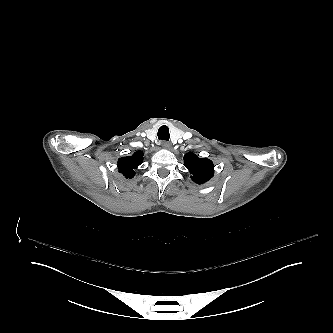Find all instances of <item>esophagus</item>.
I'll use <instances>...</instances> for the list:
<instances>
[{
  "instance_id": "34e87169",
  "label": "esophagus",
  "mask_w": 333,
  "mask_h": 333,
  "mask_svg": "<svg viewBox=\"0 0 333 333\" xmlns=\"http://www.w3.org/2000/svg\"><path fill=\"white\" fill-rule=\"evenodd\" d=\"M162 146L166 149H170L171 148V143L168 142V141H164Z\"/></svg>"
}]
</instances>
